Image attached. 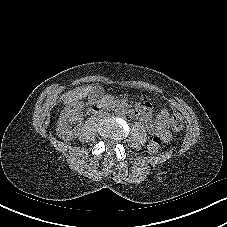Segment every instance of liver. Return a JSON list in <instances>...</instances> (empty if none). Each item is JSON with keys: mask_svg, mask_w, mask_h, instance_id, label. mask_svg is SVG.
I'll return each instance as SVG.
<instances>
[{"mask_svg": "<svg viewBox=\"0 0 227 227\" xmlns=\"http://www.w3.org/2000/svg\"><path fill=\"white\" fill-rule=\"evenodd\" d=\"M92 89H93V87H91V86L86 88L84 95H87Z\"/></svg>", "mask_w": 227, "mask_h": 227, "instance_id": "obj_1", "label": "liver"}]
</instances>
